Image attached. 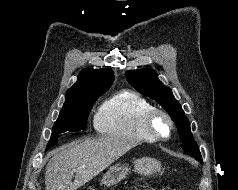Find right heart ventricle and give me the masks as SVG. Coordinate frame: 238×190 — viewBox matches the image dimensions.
I'll use <instances>...</instances> for the list:
<instances>
[{"instance_id":"1","label":"right heart ventricle","mask_w":238,"mask_h":190,"mask_svg":"<svg viewBox=\"0 0 238 190\" xmlns=\"http://www.w3.org/2000/svg\"><path fill=\"white\" fill-rule=\"evenodd\" d=\"M153 105L140 94L121 90L107 98L94 117L96 130L106 136L153 142L143 118Z\"/></svg>"}]
</instances>
